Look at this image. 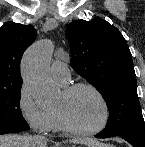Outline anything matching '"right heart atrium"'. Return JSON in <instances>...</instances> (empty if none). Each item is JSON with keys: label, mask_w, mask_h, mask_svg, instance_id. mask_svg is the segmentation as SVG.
Listing matches in <instances>:
<instances>
[{"label": "right heart atrium", "mask_w": 145, "mask_h": 147, "mask_svg": "<svg viewBox=\"0 0 145 147\" xmlns=\"http://www.w3.org/2000/svg\"><path fill=\"white\" fill-rule=\"evenodd\" d=\"M17 107L22 119L31 128L42 133L53 129L52 111L35 102L30 88L25 83L19 89Z\"/></svg>", "instance_id": "1"}]
</instances>
